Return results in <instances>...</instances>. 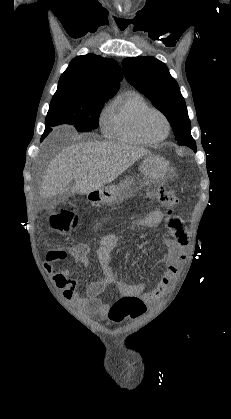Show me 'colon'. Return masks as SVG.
<instances>
[{"mask_svg": "<svg viewBox=\"0 0 231 419\" xmlns=\"http://www.w3.org/2000/svg\"><path fill=\"white\" fill-rule=\"evenodd\" d=\"M149 195L155 198L167 209L168 213H174L179 203L177 195L168 188H157L149 191ZM51 227L59 233H69L77 228L76 213L72 209H61L50 217ZM67 255L65 249L50 251L47 262L55 264L63 260ZM146 305L137 296H123L111 306L108 317L115 323H120L126 318H137L144 313Z\"/></svg>", "mask_w": 231, "mask_h": 419, "instance_id": "5ec220e1", "label": "colon"}]
</instances>
